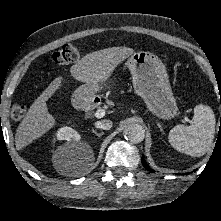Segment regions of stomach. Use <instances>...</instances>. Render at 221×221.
Listing matches in <instances>:
<instances>
[{
	"label": "stomach",
	"mask_w": 221,
	"mask_h": 221,
	"mask_svg": "<svg viewBox=\"0 0 221 221\" xmlns=\"http://www.w3.org/2000/svg\"><path fill=\"white\" fill-rule=\"evenodd\" d=\"M126 66L131 72L134 90L144 100L148 110L161 119L174 118L178 113V105L163 62L150 52L139 51L128 57ZM103 86V81L96 86L82 85L75 91L74 97L89 101Z\"/></svg>",
	"instance_id": "obj_1"
}]
</instances>
